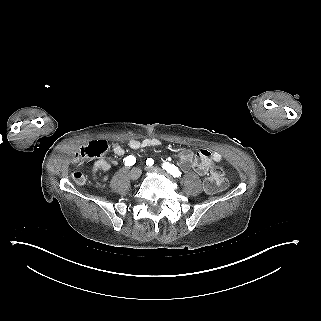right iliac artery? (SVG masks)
<instances>
[{"label":"right iliac artery","mask_w":321,"mask_h":321,"mask_svg":"<svg viewBox=\"0 0 321 321\" xmlns=\"http://www.w3.org/2000/svg\"><path fill=\"white\" fill-rule=\"evenodd\" d=\"M123 162H124L125 166H132L135 164L136 158L132 155H129L126 158H124Z\"/></svg>","instance_id":"obj_1"}]
</instances>
